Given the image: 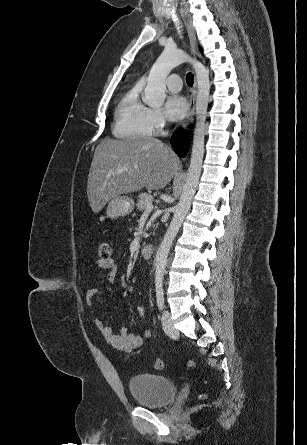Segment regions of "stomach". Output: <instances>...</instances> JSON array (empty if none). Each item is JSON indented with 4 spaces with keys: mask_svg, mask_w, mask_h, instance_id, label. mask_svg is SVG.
Wrapping results in <instances>:
<instances>
[{
    "mask_svg": "<svg viewBox=\"0 0 307 445\" xmlns=\"http://www.w3.org/2000/svg\"><path fill=\"white\" fill-rule=\"evenodd\" d=\"M134 208V198L132 196H114L108 202L106 214L108 218H119L127 216Z\"/></svg>",
    "mask_w": 307,
    "mask_h": 445,
    "instance_id": "obj_1",
    "label": "stomach"
}]
</instances>
